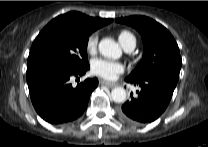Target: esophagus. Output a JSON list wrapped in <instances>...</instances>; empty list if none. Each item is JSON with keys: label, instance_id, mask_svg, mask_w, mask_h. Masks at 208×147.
<instances>
[{"label": "esophagus", "instance_id": "obj_1", "mask_svg": "<svg viewBox=\"0 0 208 147\" xmlns=\"http://www.w3.org/2000/svg\"><path fill=\"white\" fill-rule=\"evenodd\" d=\"M100 84L106 85L110 88H113V87L117 86L116 83H112V82H109V81H106V80H100Z\"/></svg>", "mask_w": 208, "mask_h": 147}]
</instances>
